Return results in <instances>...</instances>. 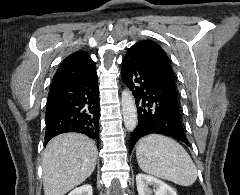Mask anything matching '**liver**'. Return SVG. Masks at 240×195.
Returning a JSON list of instances; mask_svg holds the SVG:
<instances>
[{
	"mask_svg": "<svg viewBox=\"0 0 240 195\" xmlns=\"http://www.w3.org/2000/svg\"><path fill=\"white\" fill-rule=\"evenodd\" d=\"M95 141L84 133H60L50 139L42 157L44 195H64L95 169Z\"/></svg>",
	"mask_w": 240,
	"mask_h": 195,
	"instance_id": "1",
	"label": "liver"
}]
</instances>
